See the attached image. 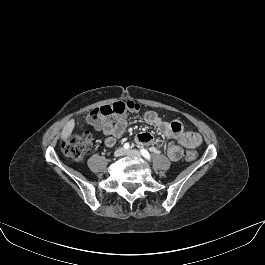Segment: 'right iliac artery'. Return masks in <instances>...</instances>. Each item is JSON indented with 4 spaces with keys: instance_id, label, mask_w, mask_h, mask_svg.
<instances>
[{
    "instance_id": "right-iliac-artery-1",
    "label": "right iliac artery",
    "mask_w": 265,
    "mask_h": 265,
    "mask_svg": "<svg viewBox=\"0 0 265 265\" xmlns=\"http://www.w3.org/2000/svg\"><path fill=\"white\" fill-rule=\"evenodd\" d=\"M124 148H125V149H129V148H130L129 143H125V144H124Z\"/></svg>"
}]
</instances>
